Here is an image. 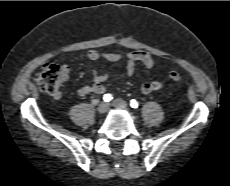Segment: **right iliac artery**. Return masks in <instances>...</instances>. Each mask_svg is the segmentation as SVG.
I'll use <instances>...</instances> for the list:
<instances>
[{"mask_svg":"<svg viewBox=\"0 0 230 186\" xmlns=\"http://www.w3.org/2000/svg\"><path fill=\"white\" fill-rule=\"evenodd\" d=\"M112 99H113V97H112L111 94H105V95L103 96V100H104L105 102H110Z\"/></svg>","mask_w":230,"mask_h":186,"instance_id":"82829eb1","label":"right iliac artery"}]
</instances>
